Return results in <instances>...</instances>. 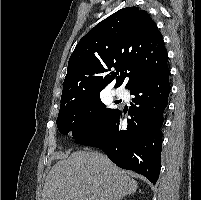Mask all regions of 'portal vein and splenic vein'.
I'll return each mask as SVG.
<instances>
[{
    "instance_id": "portal-vein-and-splenic-vein-1",
    "label": "portal vein and splenic vein",
    "mask_w": 201,
    "mask_h": 200,
    "mask_svg": "<svg viewBox=\"0 0 201 200\" xmlns=\"http://www.w3.org/2000/svg\"><path fill=\"white\" fill-rule=\"evenodd\" d=\"M89 200H92L91 196H89Z\"/></svg>"
}]
</instances>
